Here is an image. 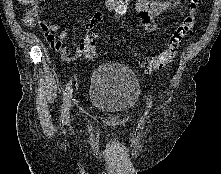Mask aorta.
<instances>
[{
	"label": "aorta",
	"mask_w": 221,
	"mask_h": 174,
	"mask_svg": "<svg viewBox=\"0 0 221 174\" xmlns=\"http://www.w3.org/2000/svg\"><path fill=\"white\" fill-rule=\"evenodd\" d=\"M128 1L129 0H108V2L111 4L112 10L119 14L126 12Z\"/></svg>",
	"instance_id": "1"
}]
</instances>
